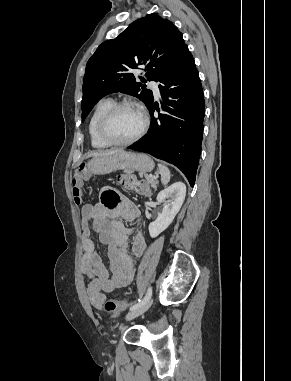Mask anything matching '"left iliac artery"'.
Segmentation results:
<instances>
[{"label": "left iliac artery", "mask_w": 291, "mask_h": 381, "mask_svg": "<svg viewBox=\"0 0 291 381\" xmlns=\"http://www.w3.org/2000/svg\"><path fill=\"white\" fill-rule=\"evenodd\" d=\"M151 295H152V288L149 287L146 295L141 300L139 299L137 303L132 305L130 310H134L138 308L139 306H141L144 302H146L151 297Z\"/></svg>", "instance_id": "1"}]
</instances>
